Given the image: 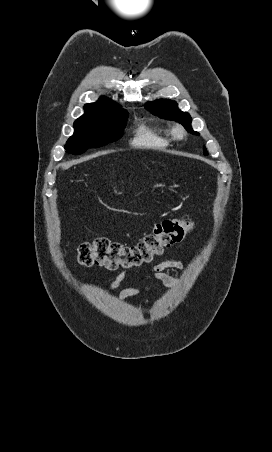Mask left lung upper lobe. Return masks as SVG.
<instances>
[{
    "label": "left lung upper lobe",
    "instance_id": "left-lung-upper-lobe-1",
    "mask_svg": "<svg viewBox=\"0 0 272 452\" xmlns=\"http://www.w3.org/2000/svg\"><path fill=\"white\" fill-rule=\"evenodd\" d=\"M146 109L150 110L154 115L168 120H175L181 123L188 132L198 135L191 127V117L188 113L182 112L178 109L176 102L171 100H156L145 104ZM204 155L207 151L204 148Z\"/></svg>",
    "mask_w": 272,
    "mask_h": 452
}]
</instances>
